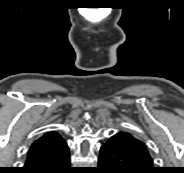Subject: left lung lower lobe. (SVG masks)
Here are the masks:
<instances>
[{
  "label": "left lung lower lobe",
  "instance_id": "1",
  "mask_svg": "<svg viewBox=\"0 0 184 173\" xmlns=\"http://www.w3.org/2000/svg\"><path fill=\"white\" fill-rule=\"evenodd\" d=\"M125 132L110 137L101 147L98 158L100 173H157L142 165L127 148Z\"/></svg>",
  "mask_w": 184,
  "mask_h": 173
}]
</instances>
